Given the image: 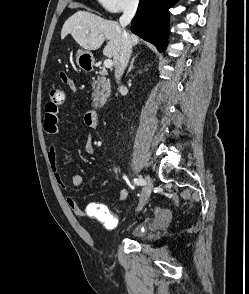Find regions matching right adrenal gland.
Returning a JSON list of instances; mask_svg holds the SVG:
<instances>
[{"instance_id": "obj_1", "label": "right adrenal gland", "mask_w": 249, "mask_h": 294, "mask_svg": "<svg viewBox=\"0 0 249 294\" xmlns=\"http://www.w3.org/2000/svg\"><path fill=\"white\" fill-rule=\"evenodd\" d=\"M137 56H138V54L132 58V61H131V63H130V67H129V69H128V72H130V71L134 68V61H135V58H136Z\"/></svg>"}]
</instances>
